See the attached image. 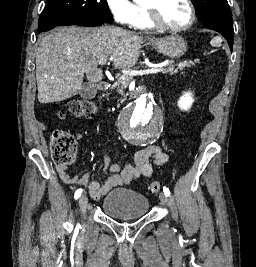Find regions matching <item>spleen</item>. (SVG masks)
I'll return each instance as SVG.
<instances>
[{"instance_id":"3e777b00","label":"spleen","mask_w":256,"mask_h":267,"mask_svg":"<svg viewBox=\"0 0 256 267\" xmlns=\"http://www.w3.org/2000/svg\"><path fill=\"white\" fill-rule=\"evenodd\" d=\"M222 38L220 36H216V38H213L211 40L210 44L213 46V48H218V46H221Z\"/></svg>"}]
</instances>
